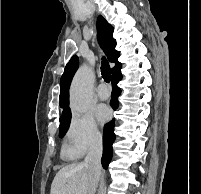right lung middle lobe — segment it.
<instances>
[{"label":"right lung middle lobe","instance_id":"right-lung-middle-lobe-1","mask_svg":"<svg viewBox=\"0 0 201 194\" xmlns=\"http://www.w3.org/2000/svg\"><path fill=\"white\" fill-rule=\"evenodd\" d=\"M71 116L60 119L59 137H63L67 132L70 124Z\"/></svg>","mask_w":201,"mask_h":194}]
</instances>
